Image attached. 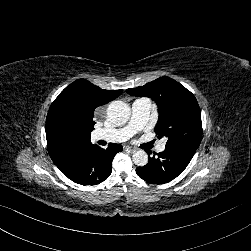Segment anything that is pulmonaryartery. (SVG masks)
Segmentation results:
<instances>
[{
  "mask_svg": "<svg viewBox=\"0 0 251 251\" xmlns=\"http://www.w3.org/2000/svg\"><path fill=\"white\" fill-rule=\"evenodd\" d=\"M151 101L146 98L137 99L132 103L131 119L129 124L124 128L113 129L105 132L104 138L109 142L121 143L127 141L135 130H143L146 126V121L151 112ZM158 152L165 149L162 142L156 143Z\"/></svg>",
  "mask_w": 251,
  "mask_h": 251,
  "instance_id": "e3ab8cb5",
  "label": "pulmonary artery"
}]
</instances>
